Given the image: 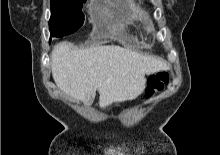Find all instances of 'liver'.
Segmentation results:
<instances>
[{"label":"liver","mask_w":220,"mask_h":155,"mask_svg":"<svg viewBox=\"0 0 220 155\" xmlns=\"http://www.w3.org/2000/svg\"><path fill=\"white\" fill-rule=\"evenodd\" d=\"M168 69L164 60L117 45L75 49L69 42H60L51 53L56 85L71 98L88 104L98 90L101 108L134 100L146 88L145 75Z\"/></svg>","instance_id":"1"}]
</instances>
